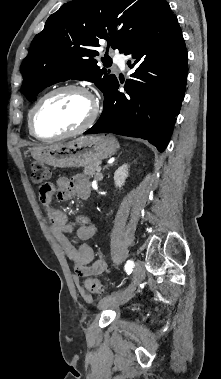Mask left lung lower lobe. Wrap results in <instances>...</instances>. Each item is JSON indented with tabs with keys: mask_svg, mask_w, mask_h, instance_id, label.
Listing matches in <instances>:
<instances>
[{
	"mask_svg": "<svg viewBox=\"0 0 221 379\" xmlns=\"http://www.w3.org/2000/svg\"><path fill=\"white\" fill-rule=\"evenodd\" d=\"M124 54L133 59L128 61L129 68H135L125 83L126 93L118 91L117 79L112 82L104 93L99 120L84 134L138 137L162 152L184 98L188 64L178 20L166 1L153 24Z\"/></svg>",
	"mask_w": 221,
	"mask_h": 379,
	"instance_id": "obj_1",
	"label": "left lung lower lobe"
}]
</instances>
